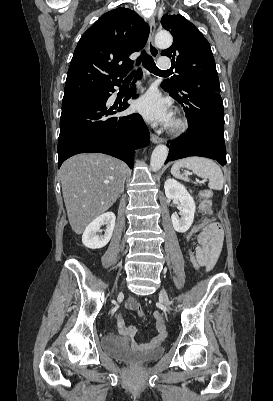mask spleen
<instances>
[{
  "label": "spleen",
  "mask_w": 273,
  "mask_h": 401,
  "mask_svg": "<svg viewBox=\"0 0 273 401\" xmlns=\"http://www.w3.org/2000/svg\"><path fill=\"white\" fill-rule=\"evenodd\" d=\"M190 168L197 176L201 178H209V188H215V190H221L223 188L224 176L223 172L216 162L210 160V158H202V156H188V158H180L174 162L171 172L176 178H182V180H189L188 176L180 174V168Z\"/></svg>",
  "instance_id": "obj_1"
}]
</instances>
